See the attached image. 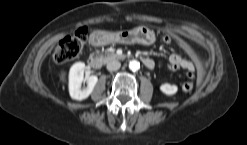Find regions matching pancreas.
<instances>
[{
	"instance_id": "cf45deb5",
	"label": "pancreas",
	"mask_w": 247,
	"mask_h": 145,
	"mask_svg": "<svg viewBox=\"0 0 247 145\" xmlns=\"http://www.w3.org/2000/svg\"><path fill=\"white\" fill-rule=\"evenodd\" d=\"M99 58L101 59L102 62L107 63L112 59H118L119 56L114 52L106 51L104 54H100Z\"/></svg>"
}]
</instances>
